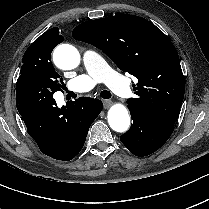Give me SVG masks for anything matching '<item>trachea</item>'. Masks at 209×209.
<instances>
[{
	"label": "trachea",
	"mask_w": 209,
	"mask_h": 209,
	"mask_svg": "<svg viewBox=\"0 0 209 209\" xmlns=\"http://www.w3.org/2000/svg\"><path fill=\"white\" fill-rule=\"evenodd\" d=\"M100 96L104 99H109L111 98V93L107 90H103L101 91Z\"/></svg>",
	"instance_id": "obj_1"
}]
</instances>
